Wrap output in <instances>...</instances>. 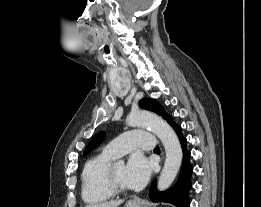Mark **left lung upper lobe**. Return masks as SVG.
I'll list each match as a JSON object with an SVG mask.
<instances>
[{
    "mask_svg": "<svg viewBox=\"0 0 261 207\" xmlns=\"http://www.w3.org/2000/svg\"><path fill=\"white\" fill-rule=\"evenodd\" d=\"M139 104L142 108L155 112L158 115H161L171 126L175 124L173 118L170 115L166 114L163 106L160 105L156 100L151 98H143L139 101ZM104 137H105L104 132H99L98 134H96L89 142L83 155L85 156L89 152H91L93 148L98 146L103 141Z\"/></svg>",
    "mask_w": 261,
    "mask_h": 207,
    "instance_id": "1",
    "label": "left lung upper lobe"
}]
</instances>
